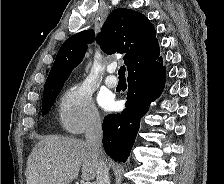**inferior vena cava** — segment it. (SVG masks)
I'll use <instances>...</instances> for the list:
<instances>
[{
  "label": "inferior vena cava",
  "instance_id": "obj_1",
  "mask_svg": "<svg viewBox=\"0 0 224 184\" xmlns=\"http://www.w3.org/2000/svg\"><path fill=\"white\" fill-rule=\"evenodd\" d=\"M85 138L88 146L98 159L96 184H110L109 169L105 161L102 147V124L99 117H93L85 130Z\"/></svg>",
  "mask_w": 224,
  "mask_h": 184
}]
</instances>
